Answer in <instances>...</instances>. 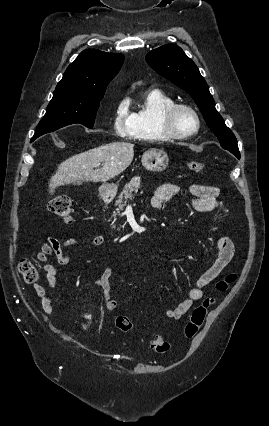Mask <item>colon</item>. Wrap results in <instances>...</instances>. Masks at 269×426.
<instances>
[{
	"label": "colon",
	"mask_w": 269,
	"mask_h": 426,
	"mask_svg": "<svg viewBox=\"0 0 269 426\" xmlns=\"http://www.w3.org/2000/svg\"><path fill=\"white\" fill-rule=\"evenodd\" d=\"M188 168L192 172L202 173L204 165L200 161H189ZM48 208L50 212L56 217L60 218L66 223H70L73 220V209L72 202L69 196L58 195L53 197L49 203ZM18 270L23 280L29 284L38 283L40 280V269L39 267L29 259H23L18 265ZM237 279L235 273L226 275L223 279L219 280L216 284V290L218 292H224L227 288L233 284ZM213 303L212 297H206L192 312L189 322L185 327V335L187 338H193L200 327L202 326L208 308ZM116 327L122 332H129L133 328V323L130 318L126 316H117L115 319ZM151 347L159 352L165 353L169 350V343L166 339L161 336H156L151 341Z\"/></svg>",
	"instance_id": "1"
}]
</instances>
